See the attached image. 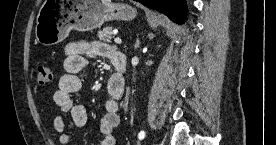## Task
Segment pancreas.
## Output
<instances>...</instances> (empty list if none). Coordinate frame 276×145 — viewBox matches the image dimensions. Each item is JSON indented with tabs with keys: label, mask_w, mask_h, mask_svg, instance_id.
Returning a JSON list of instances; mask_svg holds the SVG:
<instances>
[{
	"label": "pancreas",
	"mask_w": 276,
	"mask_h": 145,
	"mask_svg": "<svg viewBox=\"0 0 276 145\" xmlns=\"http://www.w3.org/2000/svg\"><path fill=\"white\" fill-rule=\"evenodd\" d=\"M112 35V27H105L102 30L98 31L97 36L100 40L110 42Z\"/></svg>",
	"instance_id": "obj_1"
}]
</instances>
